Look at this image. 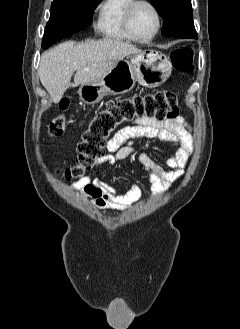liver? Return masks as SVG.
I'll list each match as a JSON object with an SVG mask.
<instances>
[{
  "instance_id": "liver-1",
  "label": "liver",
  "mask_w": 240,
  "mask_h": 329,
  "mask_svg": "<svg viewBox=\"0 0 240 329\" xmlns=\"http://www.w3.org/2000/svg\"><path fill=\"white\" fill-rule=\"evenodd\" d=\"M139 52L141 50L132 44L108 38L78 44L67 41L43 53L39 78L51 100L58 103L69 87L94 82L127 55ZM75 71L74 83H71Z\"/></svg>"
}]
</instances>
